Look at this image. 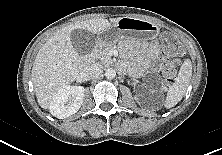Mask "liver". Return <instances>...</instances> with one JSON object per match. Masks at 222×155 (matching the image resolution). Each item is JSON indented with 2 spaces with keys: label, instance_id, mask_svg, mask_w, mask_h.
<instances>
[{
  "label": "liver",
  "instance_id": "6515ba94",
  "mask_svg": "<svg viewBox=\"0 0 222 155\" xmlns=\"http://www.w3.org/2000/svg\"><path fill=\"white\" fill-rule=\"evenodd\" d=\"M120 20L121 17L77 22L60 29L46 41L37 53L31 74L36 97L42 108H49L58 90L75 81L81 73L83 64L71 42L72 31L83 29L99 34L111 27V23Z\"/></svg>",
  "mask_w": 222,
  "mask_h": 155
}]
</instances>
